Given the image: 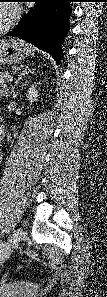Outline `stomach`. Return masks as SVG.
I'll list each match as a JSON object with an SVG mask.
<instances>
[{
  "mask_svg": "<svg viewBox=\"0 0 107 297\" xmlns=\"http://www.w3.org/2000/svg\"><path fill=\"white\" fill-rule=\"evenodd\" d=\"M31 48L22 41L2 42L0 45V63L1 65H12L20 63L25 57L31 54Z\"/></svg>",
  "mask_w": 107,
  "mask_h": 297,
  "instance_id": "0dacf381",
  "label": "stomach"
}]
</instances>
